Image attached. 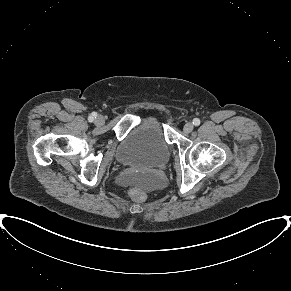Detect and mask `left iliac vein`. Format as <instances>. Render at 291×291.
I'll list each match as a JSON object with an SVG mask.
<instances>
[{
  "label": "left iliac vein",
  "instance_id": "obj_1",
  "mask_svg": "<svg viewBox=\"0 0 291 291\" xmlns=\"http://www.w3.org/2000/svg\"><path fill=\"white\" fill-rule=\"evenodd\" d=\"M193 124L192 123H190V122H188V123H186L185 125H184V127H183V131L185 132V133H190L192 130H193Z\"/></svg>",
  "mask_w": 291,
  "mask_h": 291
}]
</instances>
